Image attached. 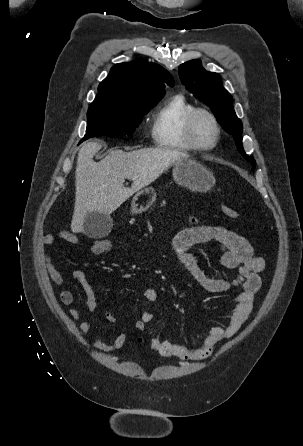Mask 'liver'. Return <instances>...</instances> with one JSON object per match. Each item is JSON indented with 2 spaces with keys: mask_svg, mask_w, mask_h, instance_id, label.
I'll return each mask as SVG.
<instances>
[{
  "mask_svg": "<svg viewBox=\"0 0 303 446\" xmlns=\"http://www.w3.org/2000/svg\"><path fill=\"white\" fill-rule=\"evenodd\" d=\"M99 141L87 142L79 150L76 178V197L71 230L83 231L88 213L109 215L135 192L156 180L172 164L188 158L187 153L169 149H140L124 152L116 149L100 162L93 160L101 149ZM125 179L132 180L130 188Z\"/></svg>",
  "mask_w": 303,
  "mask_h": 446,
  "instance_id": "liver-1",
  "label": "liver"
}]
</instances>
